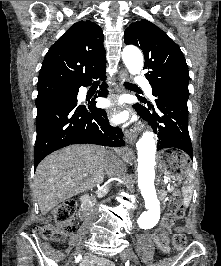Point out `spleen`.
<instances>
[{
    "label": "spleen",
    "instance_id": "1",
    "mask_svg": "<svg viewBox=\"0 0 221 266\" xmlns=\"http://www.w3.org/2000/svg\"><path fill=\"white\" fill-rule=\"evenodd\" d=\"M192 178H193V173L190 171L188 174V178L185 182L184 187L182 188V192L184 195V202L186 205H188L190 203L191 200V193L193 191V186L191 185L192 182Z\"/></svg>",
    "mask_w": 221,
    "mask_h": 266
}]
</instances>
